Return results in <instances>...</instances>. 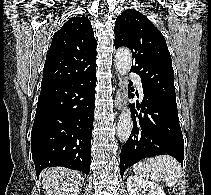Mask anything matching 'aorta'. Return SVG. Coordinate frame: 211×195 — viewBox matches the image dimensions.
Wrapping results in <instances>:
<instances>
[{
	"mask_svg": "<svg viewBox=\"0 0 211 195\" xmlns=\"http://www.w3.org/2000/svg\"><path fill=\"white\" fill-rule=\"evenodd\" d=\"M114 62L116 69L121 76H125L132 65V54L127 48H120L117 50ZM132 119L131 113L124 108L117 124V137L120 142H126L131 134Z\"/></svg>",
	"mask_w": 211,
	"mask_h": 195,
	"instance_id": "1",
	"label": "aorta"
}]
</instances>
